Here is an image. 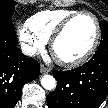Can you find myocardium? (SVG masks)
<instances>
[{
  "label": "myocardium",
  "mask_w": 108,
  "mask_h": 108,
  "mask_svg": "<svg viewBox=\"0 0 108 108\" xmlns=\"http://www.w3.org/2000/svg\"><path fill=\"white\" fill-rule=\"evenodd\" d=\"M81 16H89L93 19V21L95 23L96 33H95V37H94V40H93L91 46L88 48V50L83 55H81L80 57L75 58V59L66 60V59L57 57L55 55V45H56L57 41L66 32V30L71 25V23ZM100 38H101V27H100L98 18L92 12L78 11V12L72 14L71 16H69L68 18H66L55 30V32L53 33V35L50 38V49L59 64H61L62 66H65V67L73 68V67H77V66L84 64L93 56V54L95 53V51L99 45Z\"/></svg>",
  "instance_id": "myocardium-1"
}]
</instances>
